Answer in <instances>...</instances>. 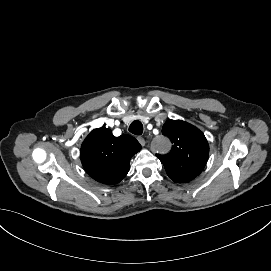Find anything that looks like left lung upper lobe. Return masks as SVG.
<instances>
[{
    "instance_id": "5c2ea615",
    "label": "left lung upper lobe",
    "mask_w": 271,
    "mask_h": 271,
    "mask_svg": "<svg viewBox=\"0 0 271 271\" xmlns=\"http://www.w3.org/2000/svg\"><path fill=\"white\" fill-rule=\"evenodd\" d=\"M162 133L173 143L168 154H156L167 175L176 183L193 180L202 172L208 159L209 146L204 134L181 120L166 121Z\"/></svg>"
}]
</instances>
